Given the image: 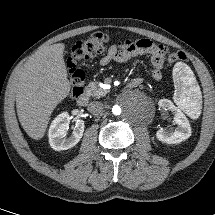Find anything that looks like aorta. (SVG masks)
I'll return each mask as SVG.
<instances>
[{
  "instance_id": "1",
  "label": "aorta",
  "mask_w": 215,
  "mask_h": 215,
  "mask_svg": "<svg viewBox=\"0 0 215 215\" xmlns=\"http://www.w3.org/2000/svg\"><path fill=\"white\" fill-rule=\"evenodd\" d=\"M113 113L116 114V115L120 114V113H121L120 107H118V106H117V107H114V108H113Z\"/></svg>"
}]
</instances>
